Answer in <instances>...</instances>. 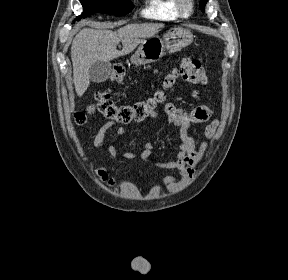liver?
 I'll return each mask as SVG.
<instances>
[{"label": "liver", "instance_id": "6515ba94", "mask_svg": "<svg viewBox=\"0 0 288 280\" xmlns=\"http://www.w3.org/2000/svg\"><path fill=\"white\" fill-rule=\"evenodd\" d=\"M162 23L128 24L112 30L84 28L73 39L71 59L75 91L81 97L90 84L89 68L96 61L109 62L120 56L131 53L145 39L155 36ZM122 42L123 48L117 50Z\"/></svg>", "mask_w": 288, "mask_h": 280}]
</instances>
